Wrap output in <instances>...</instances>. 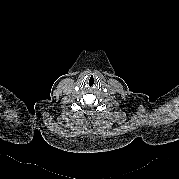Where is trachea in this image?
<instances>
[{"instance_id": "obj_1", "label": "trachea", "mask_w": 179, "mask_h": 179, "mask_svg": "<svg viewBox=\"0 0 179 179\" xmlns=\"http://www.w3.org/2000/svg\"><path fill=\"white\" fill-rule=\"evenodd\" d=\"M96 81H97V79H96V77L93 76V75H90V76H88V78H87V84H88V86H90V87L95 86Z\"/></svg>"}]
</instances>
